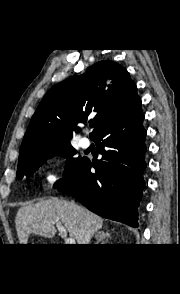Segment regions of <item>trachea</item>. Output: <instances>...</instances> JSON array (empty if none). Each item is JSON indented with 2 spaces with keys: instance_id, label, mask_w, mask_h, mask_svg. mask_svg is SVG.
<instances>
[{
  "instance_id": "1",
  "label": "trachea",
  "mask_w": 180,
  "mask_h": 294,
  "mask_svg": "<svg viewBox=\"0 0 180 294\" xmlns=\"http://www.w3.org/2000/svg\"><path fill=\"white\" fill-rule=\"evenodd\" d=\"M90 127H93V124H90Z\"/></svg>"
}]
</instances>
